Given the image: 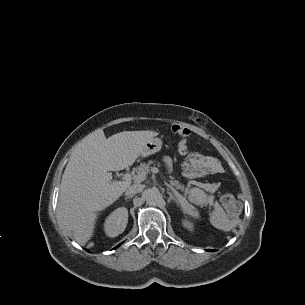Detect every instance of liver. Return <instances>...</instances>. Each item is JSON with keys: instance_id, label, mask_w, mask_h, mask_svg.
<instances>
[{"instance_id": "obj_1", "label": "liver", "mask_w": 305, "mask_h": 305, "mask_svg": "<svg viewBox=\"0 0 305 305\" xmlns=\"http://www.w3.org/2000/svg\"><path fill=\"white\" fill-rule=\"evenodd\" d=\"M154 131H123L106 138L102 130L86 136L72 153L62 176L57 214L59 222L85 244L94 233L97 213L115 202L131 181H112L140 156Z\"/></svg>"}]
</instances>
